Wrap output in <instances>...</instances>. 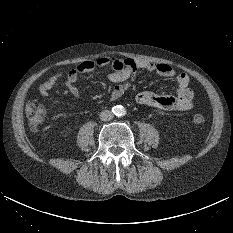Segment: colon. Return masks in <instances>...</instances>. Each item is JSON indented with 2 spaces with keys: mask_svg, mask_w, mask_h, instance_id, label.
I'll use <instances>...</instances> for the list:
<instances>
[{
  "mask_svg": "<svg viewBox=\"0 0 233 233\" xmlns=\"http://www.w3.org/2000/svg\"><path fill=\"white\" fill-rule=\"evenodd\" d=\"M26 113L30 122L31 129L38 130L45 119V109L42 106H37L34 103H31L27 106ZM192 121L197 125H201L205 122V118L203 115L196 113L193 115Z\"/></svg>",
  "mask_w": 233,
  "mask_h": 233,
  "instance_id": "5ec220e1",
  "label": "colon"
}]
</instances>
